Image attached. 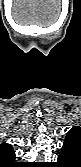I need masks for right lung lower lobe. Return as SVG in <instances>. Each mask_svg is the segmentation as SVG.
Listing matches in <instances>:
<instances>
[{"label": "right lung lower lobe", "instance_id": "1", "mask_svg": "<svg viewBox=\"0 0 81 167\" xmlns=\"http://www.w3.org/2000/svg\"><path fill=\"white\" fill-rule=\"evenodd\" d=\"M20 166H22L20 163H15L13 165H10V167H20Z\"/></svg>", "mask_w": 81, "mask_h": 167}]
</instances>
